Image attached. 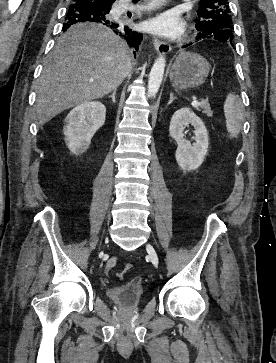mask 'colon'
I'll use <instances>...</instances> for the list:
<instances>
[{
	"mask_svg": "<svg viewBox=\"0 0 276 363\" xmlns=\"http://www.w3.org/2000/svg\"><path fill=\"white\" fill-rule=\"evenodd\" d=\"M130 268H131V265L128 264V265H126L125 270L128 271ZM133 283L134 284H139V280H134Z\"/></svg>",
	"mask_w": 276,
	"mask_h": 363,
	"instance_id": "1",
	"label": "colon"
}]
</instances>
